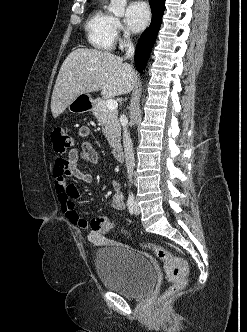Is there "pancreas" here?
<instances>
[{
  "label": "pancreas",
  "mask_w": 247,
  "mask_h": 332,
  "mask_svg": "<svg viewBox=\"0 0 247 332\" xmlns=\"http://www.w3.org/2000/svg\"><path fill=\"white\" fill-rule=\"evenodd\" d=\"M106 99L97 98L94 101L93 113L97 118L99 124L102 126V131L107 138L111 147L120 145V124L118 122V111L111 110L106 107Z\"/></svg>",
  "instance_id": "obj_1"
}]
</instances>
